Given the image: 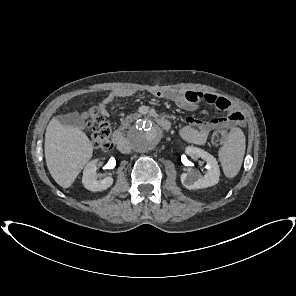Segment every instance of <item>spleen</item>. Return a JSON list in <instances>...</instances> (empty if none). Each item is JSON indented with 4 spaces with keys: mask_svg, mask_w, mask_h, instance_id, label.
Segmentation results:
<instances>
[{
    "mask_svg": "<svg viewBox=\"0 0 296 296\" xmlns=\"http://www.w3.org/2000/svg\"><path fill=\"white\" fill-rule=\"evenodd\" d=\"M245 147L246 139L243 131L238 127L232 128L226 142L218 152L226 177L233 178L238 174L243 162Z\"/></svg>",
    "mask_w": 296,
    "mask_h": 296,
    "instance_id": "1",
    "label": "spleen"
}]
</instances>
